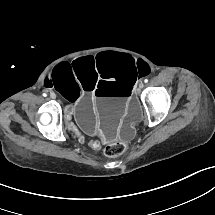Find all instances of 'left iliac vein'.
<instances>
[{
    "label": "left iliac vein",
    "mask_w": 215,
    "mask_h": 215,
    "mask_svg": "<svg viewBox=\"0 0 215 215\" xmlns=\"http://www.w3.org/2000/svg\"><path fill=\"white\" fill-rule=\"evenodd\" d=\"M143 87H144L143 82H140V83H139V89H142Z\"/></svg>",
    "instance_id": "4c4485c4"
}]
</instances>
